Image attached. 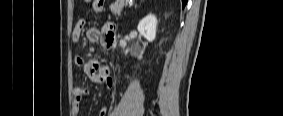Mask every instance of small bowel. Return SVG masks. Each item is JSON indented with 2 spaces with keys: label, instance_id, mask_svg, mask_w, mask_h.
I'll return each mask as SVG.
<instances>
[{
  "label": "small bowel",
  "instance_id": "1",
  "mask_svg": "<svg viewBox=\"0 0 283 116\" xmlns=\"http://www.w3.org/2000/svg\"><path fill=\"white\" fill-rule=\"evenodd\" d=\"M103 0H95L94 7L96 11H101L103 8ZM84 27V22L80 21L77 23L76 27L72 32V40L78 42L81 39L82 28ZM115 26L111 22H107L101 28H89L87 30V38L92 42H100L103 46L112 47L115 43L114 38ZM75 63L77 66L82 67L84 74L88 80L93 83L104 84L108 91L114 86V79L111 76L108 67L104 66L99 60L92 59L86 61L82 56H76ZM89 90L80 86H75L73 88L74 105L73 112L74 115H79L80 105L82 100L89 95ZM107 113L106 107H102L99 111V116H105Z\"/></svg>",
  "mask_w": 283,
  "mask_h": 116
}]
</instances>
